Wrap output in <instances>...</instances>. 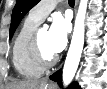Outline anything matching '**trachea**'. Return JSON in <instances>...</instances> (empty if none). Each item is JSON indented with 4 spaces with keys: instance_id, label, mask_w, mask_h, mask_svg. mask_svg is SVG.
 Instances as JSON below:
<instances>
[{
    "instance_id": "trachea-1",
    "label": "trachea",
    "mask_w": 107,
    "mask_h": 89,
    "mask_svg": "<svg viewBox=\"0 0 107 89\" xmlns=\"http://www.w3.org/2000/svg\"><path fill=\"white\" fill-rule=\"evenodd\" d=\"M68 3H69L70 5H74V4H75V0H69Z\"/></svg>"
}]
</instances>
